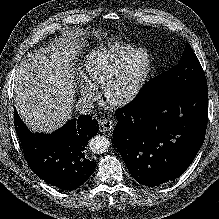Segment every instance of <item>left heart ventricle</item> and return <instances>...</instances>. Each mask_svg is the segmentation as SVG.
Listing matches in <instances>:
<instances>
[{
  "mask_svg": "<svg viewBox=\"0 0 219 219\" xmlns=\"http://www.w3.org/2000/svg\"><path fill=\"white\" fill-rule=\"evenodd\" d=\"M146 67L147 59L144 56H140L124 66L114 84V94L121 96L131 91L140 80Z\"/></svg>",
  "mask_w": 219,
  "mask_h": 219,
  "instance_id": "left-heart-ventricle-1",
  "label": "left heart ventricle"
}]
</instances>
